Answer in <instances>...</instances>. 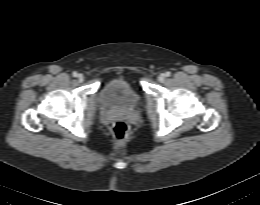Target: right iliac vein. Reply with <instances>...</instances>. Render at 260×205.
I'll return each mask as SVG.
<instances>
[{"label": "right iliac vein", "mask_w": 260, "mask_h": 205, "mask_svg": "<svg viewBox=\"0 0 260 205\" xmlns=\"http://www.w3.org/2000/svg\"><path fill=\"white\" fill-rule=\"evenodd\" d=\"M78 80H79L80 82H82V81L84 80V76H83L82 74H79V75H78Z\"/></svg>", "instance_id": "63e3f726"}]
</instances>
